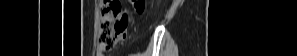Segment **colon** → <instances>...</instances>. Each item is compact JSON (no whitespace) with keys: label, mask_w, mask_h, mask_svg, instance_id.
<instances>
[{"label":"colon","mask_w":297,"mask_h":56,"mask_svg":"<svg viewBox=\"0 0 297 56\" xmlns=\"http://www.w3.org/2000/svg\"><path fill=\"white\" fill-rule=\"evenodd\" d=\"M132 4L139 13L144 11V0H133ZM129 12L122 8L120 2L105 0L99 21L98 49L100 53L111 52L117 42L121 40L122 33H125L129 24Z\"/></svg>","instance_id":"1"}]
</instances>
